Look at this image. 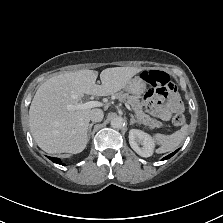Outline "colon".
Segmentation results:
<instances>
[{
	"label": "colon",
	"instance_id": "5ec220e1",
	"mask_svg": "<svg viewBox=\"0 0 223 223\" xmlns=\"http://www.w3.org/2000/svg\"><path fill=\"white\" fill-rule=\"evenodd\" d=\"M142 79L153 85V86H166L169 89H175V86L172 82L171 77L162 71H155V70H151V71H144L141 74ZM172 122L175 126H183L186 122L185 116L180 113L177 112L172 119Z\"/></svg>",
	"mask_w": 223,
	"mask_h": 223
}]
</instances>
